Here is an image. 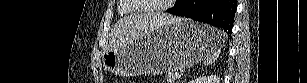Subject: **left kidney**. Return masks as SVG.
<instances>
[{
	"label": "left kidney",
	"instance_id": "obj_1",
	"mask_svg": "<svg viewBox=\"0 0 307 83\" xmlns=\"http://www.w3.org/2000/svg\"><path fill=\"white\" fill-rule=\"evenodd\" d=\"M188 83H220V79L216 75L200 76L198 78L192 79Z\"/></svg>",
	"mask_w": 307,
	"mask_h": 83
}]
</instances>
